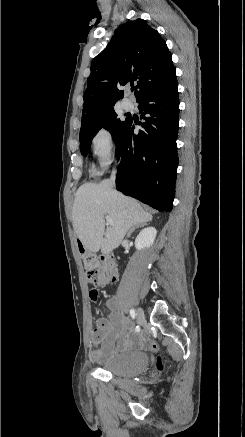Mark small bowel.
<instances>
[{"instance_id":"1","label":"small bowel","mask_w":245,"mask_h":437,"mask_svg":"<svg viewBox=\"0 0 245 437\" xmlns=\"http://www.w3.org/2000/svg\"><path fill=\"white\" fill-rule=\"evenodd\" d=\"M107 306L111 310L110 317L98 320L91 335L93 345L91 355L97 361L110 359L121 350L140 347L146 343L145 337L136 332H131L124 337L130 324L127 319L119 314L118 303L115 298H110L107 301ZM119 338H122V341L116 347L115 342Z\"/></svg>"}]
</instances>
